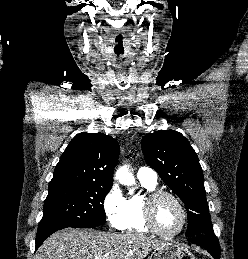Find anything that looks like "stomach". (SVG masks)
<instances>
[{"label":"stomach","mask_w":248,"mask_h":259,"mask_svg":"<svg viewBox=\"0 0 248 259\" xmlns=\"http://www.w3.org/2000/svg\"><path fill=\"white\" fill-rule=\"evenodd\" d=\"M149 259H196L194 254L184 247L166 244L153 250Z\"/></svg>","instance_id":"stomach-1"}]
</instances>
